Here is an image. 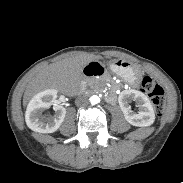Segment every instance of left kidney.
Masks as SVG:
<instances>
[{
	"label": "left kidney",
	"mask_w": 183,
	"mask_h": 183,
	"mask_svg": "<svg viewBox=\"0 0 183 183\" xmlns=\"http://www.w3.org/2000/svg\"><path fill=\"white\" fill-rule=\"evenodd\" d=\"M135 101L139 107L137 113L131 110L130 101ZM119 106L128 123L133 126L146 127L150 126L155 121V113L150 100L145 94L138 90H124L118 96Z\"/></svg>",
	"instance_id": "1"
}]
</instances>
